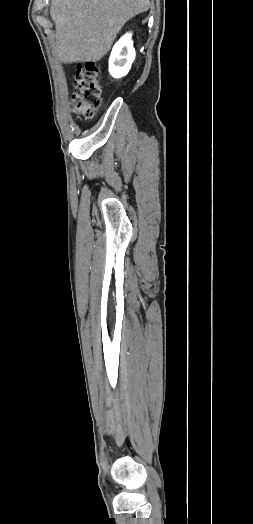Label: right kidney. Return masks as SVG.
<instances>
[{
	"instance_id": "right-kidney-1",
	"label": "right kidney",
	"mask_w": 253,
	"mask_h": 524,
	"mask_svg": "<svg viewBox=\"0 0 253 524\" xmlns=\"http://www.w3.org/2000/svg\"><path fill=\"white\" fill-rule=\"evenodd\" d=\"M131 33L125 34L113 47L109 59V72L114 78L125 76L135 59L136 53Z\"/></svg>"
}]
</instances>
